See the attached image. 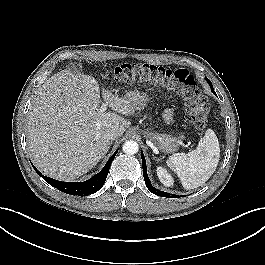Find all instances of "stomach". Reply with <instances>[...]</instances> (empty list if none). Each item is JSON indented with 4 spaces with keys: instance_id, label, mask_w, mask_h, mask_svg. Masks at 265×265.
<instances>
[{
    "instance_id": "0dacf381",
    "label": "stomach",
    "mask_w": 265,
    "mask_h": 265,
    "mask_svg": "<svg viewBox=\"0 0 265 265\" xmlns=\"http://www.w3.org/2000/svg\"><path fill=\"white\" fill-rule=\"evenodd\" d=\"M131 98L135 101L137 106H143L147 101L146 94H134ZM144 134L155 141L156 145L158 146L159 150L164 153H171L175 152L178 147V140H184L185 135L180 134L179 137H175L165 133H157L152 131H145Z\"/></svg>"
}]
</instances>
